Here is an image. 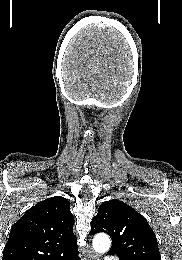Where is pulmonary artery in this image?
<instances>
[{"instance_id": "e3ab8cb5", "label": "pulmonary artery", "mask_w": 182, "mask_h": 260, "mask_svg": "<svg viewBox=\"0 0 182 260\" xmlns=\"http://www.w3.org/2000/svg\"><path fill=\"white\" fill-rule=\"evenodd\" d=\"M105 260H118L116 257H113V256H108L106 257Z\"/></svg>"}]
</instances>
